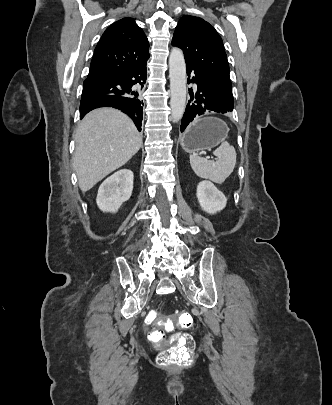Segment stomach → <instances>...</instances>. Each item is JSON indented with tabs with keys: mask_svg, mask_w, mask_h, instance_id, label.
I'll use <instances>...</instances> for the list:
<instances>
[{
	"mask_svg": "<svg viewBox=\"0 0 332 405\" xmlns=\"http://www.w3.org/2000/svg\"><path fill=\"white\" fill-rule=\"evenodd\" d=\"M229 128L216 117L197 118L190 124L180 139L182 148L190 153L211 150L225 142Z\"/></svg>",
	"mask_w": 332,
	"mask_h": 405,
	"instance_id": "obj_1",
	"label": "stomach"
}]
</instances>
